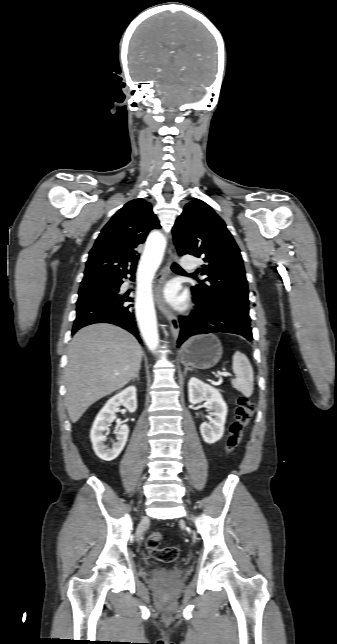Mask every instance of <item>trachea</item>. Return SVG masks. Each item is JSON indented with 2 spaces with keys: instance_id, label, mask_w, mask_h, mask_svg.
I'll use <instances>...</instances> for the list:
<instances>
[{
  "instance_id": "trachea-1",
  "label": "trachea",
  "mask_w": 337,
  "mask_h": 644,
  "mask_svg": "<svg viewBox=\"0 0 337 644\" xmlns=\"http://www.w3.org/2000/svg\"><path fill=\"white\" fill-rule=\"evenodd\" d=\"M172 270L178 271V272H185L177 263H173L171 266Z\"/></svg>"
}]
</instances>
